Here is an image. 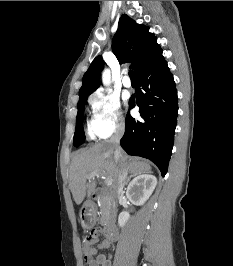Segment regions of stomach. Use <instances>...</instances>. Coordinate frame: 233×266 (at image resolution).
Masks as SVG:
<instances>
[{"instance_id":"0dacf381","label":"stomach","mask_w":233,"mask_h":266,"mask_svg":"<svg viewBox=\"0 0 233 266\" xmlns=\"http://www.w3.org/2000/svg\"><path fill=\"white\" fill-rule=\"evenodd\" d=\"M96 221V213L93 209H86L83 213L82 225L84 227H91Z\"/></svg>"}]
</instances>
